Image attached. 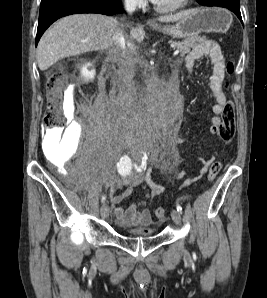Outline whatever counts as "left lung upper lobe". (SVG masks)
<instances>
[{
    "label": "left lung upper lobe",
    "mask_w": 267,
    "mask_h": 298,
    "mask_svg": "<svg viewBox=\"0 0 267 298\" xmlns=\"http://www.w3.org/2000/svg\"><path fill=\"white\" fill-rule=\"evenodd\" d=\"M207 1H209V0H197V2L201 5H206ZM233 1L239 2V0H233Z\"/></svg>",
    "instance_id": "5c2ea615"
}]
</instances>
